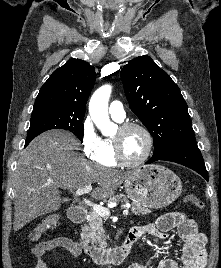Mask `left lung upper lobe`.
<instances>
[{"label": "left lung upper lobe", "mask_w": 221, "mask_h": 268, "mask_svg": "<svg viewBox=\"0 0 221 268\" xmlns=\"http://www.w3.org/2000/svg\"><path fill=\"white\" fill-rule=\"evenodd\" d=\"M121 79L131 110L153 137V156L164 154L176 143L195 139L179 87L149 56H139L125 65Z\"/></svg>", "instance_id": "obj_1"}]
</instances>
